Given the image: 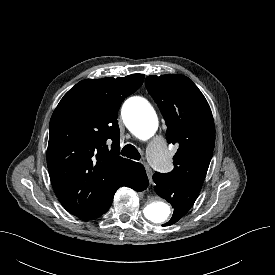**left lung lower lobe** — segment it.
Instances as JSON below:
<instances>
[{
  "mask_svg": "<svg viewBox=\"0 0 275 275\" xmlns=\"http://www.w3.org/2000/svg\"><path fill=\"white\" fill-rule=\"evenodd\" d=\"M156 184V193L171 203L174 213L169 222L165 225H171L181 219L193 206L197 199L200 187L178 182L170 178L167 174L156 172L153 175Z\"/></svg>",
  "mask_w": 275,
  "mask_h": 275,
  "instance_id": "obj_1",
  "label": "left lung lower lobe"
}]
</instances>
